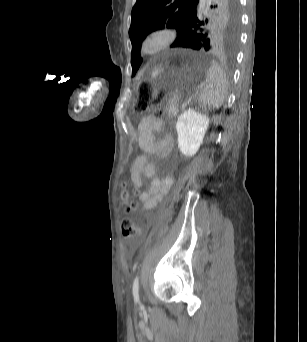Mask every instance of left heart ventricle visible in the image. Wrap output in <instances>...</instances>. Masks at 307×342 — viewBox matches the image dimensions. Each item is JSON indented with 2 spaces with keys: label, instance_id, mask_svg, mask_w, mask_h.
<instances>
[{
  "label": "left heart ventricle",
  "instance_id": "b2bd125f",
  "mask_svg": "<svg viewBox=\"0 0 307 342\" xmlns=\"http://www.w3.org/2000/svg\"><path fill=\"white\" fill-rule=\"evenodd\" d=\"M152 48V44H148L147 45V49L149 50V49H151Z\"/></svg>",
  "mask_w": 307,
  "mask_h": 342
}]
</instances>
